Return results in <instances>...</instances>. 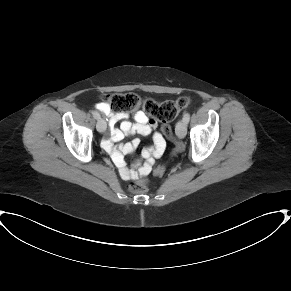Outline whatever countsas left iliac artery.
I'll use <instances>...</instances> for the list:
<instances>
[{
    "instance_id": "1",
    "label": "left iliac artery",
    "mask_w": 291,
    "mask_h": 291,
    "mask_svg": "<svg viewBox=\"0 0 291 291\" xmlns=\"http://www.w3.org/2000/svg\"><path fill=\"white\" fill-rule=\"evenodd\" d=\"M189 119H190V114L186 112L183 116V121L187 124L189 122Z\"/></svg>"
}]
</instances>
